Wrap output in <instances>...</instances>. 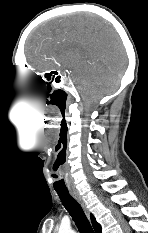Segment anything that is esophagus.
I'll return each instance as SVG.
<instances>
[{"label":"esophagus","mask_w":148,"mask_h":233,"mask_svg":"<svg viewBox=\"0 0 148 233\" xmlns=\"http://www.w3.org/2000/svg\"><path fill=\"white\" fill-rule=\"evenodd\" d=\"M70 194L80 204V206L82 207V209L86 213V215H89L87 207H86L81 195L78 193V191L71 190Z\"/></svg>","instance_id":"1"}]
</instances>
